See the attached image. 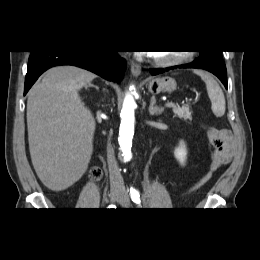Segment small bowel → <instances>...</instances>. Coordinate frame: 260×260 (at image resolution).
<instances>
[{
    "mask_svg": "<svg viewBox=\"0 0 260 260\" xmlns=\"http://www.w3.org/2000/svg\"><path fill=\"white\" fill-rule=\"evenodd\" d=\"M206 133L209 142L215 148L211 153L210 171L182 195L190 194L200 188L207 182L214 170L221 165L227 164L234 155L235 143L233 136L228 129H207Z\"/></svg>",
    "mask_w": 260,
    "mask_h": 260,
    "instance_id": "obj_1",
    "label": "small bowel"
}]
</instances>
